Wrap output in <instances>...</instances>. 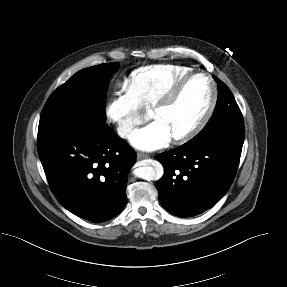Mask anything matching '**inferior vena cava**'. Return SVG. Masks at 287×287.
Instances as JSON below:
<instances>
[{
    "mask_svg": "<svg viewBox=\"0 0 287 287\" xmlns=\"http://www.w3.org/2000/svg\"><path fill=\"white\" fill-rule=\"evenodd\" d=\"M133 130V125H122L117 128L118 135L120 137H125Z\"/></svg>",
    "mask_w": 287,
    "mask_h": 287,
    "instance_id": "inferior-vena-cava-1",
    "label": "inferior vena cava"
}]
</instances>
